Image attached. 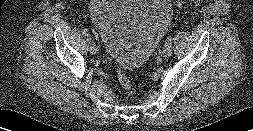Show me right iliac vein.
Returning <instances> with one entry per match:
<instances>
[{
  "label": "right iliac vein",
  "mask_w": 253,
  "mask_h": 131,
  "mask_svg": "<svg viewBox=\"0 0 253 131\" xmlns=\"http://www.w3.org/2000/svg\"><path fill=\"white\" fill-rule=\"evenodd\" d=\"M90 51H91L92 54H97L98 48L96 47L95 49H92V48L90 47Z\"/></svg>",
  "instance_id": "63e3f726"
}]
</instances>
